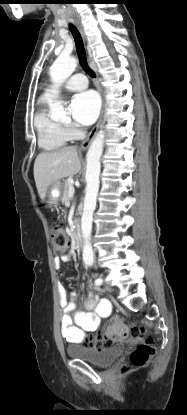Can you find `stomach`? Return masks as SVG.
<instances>
[{
	"mask_svg": "<svg viewBox=\"0 0 187 415\" xmlns=\"http://www.w3.org/2000/svg\"><path fill=\"white\" fill-rule=\"evenodd\" d=\"M62 186L59 181L52 183L46 192V204L48 207H56L60 201Z\"/></svg>",
	"mask_w": 187,
	"mask_h": 415,
	"instance_id": "0dacf381",
	"label": "stomach"
}]
</instances>
